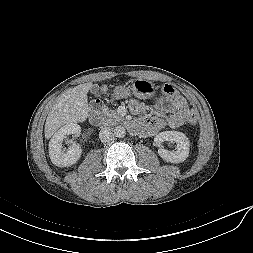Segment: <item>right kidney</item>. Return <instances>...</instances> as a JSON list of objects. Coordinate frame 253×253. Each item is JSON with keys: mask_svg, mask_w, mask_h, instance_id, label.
Here are the masks:
<instances>
[{"mask_svg": "<svg viewBox=\"0 0 253 253\" xmlns=\"http://www.w3.org/2000/svg\"><path fill=\"white\" fill-rule=\"evenodd\" d=\"M81 128L77 124H67L61 127L49 142V156L52 163L58 167H67L75 164L81 157L82 149L79 144L72 143L68 149L62 148L63 139L66 135L78 136Z\"/></svg>", "mask_w": 253, "mask_h": 253, "instance_id": "1", "label": "right kidney"}]
</instances>
